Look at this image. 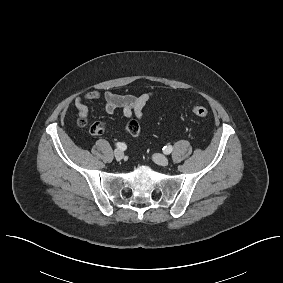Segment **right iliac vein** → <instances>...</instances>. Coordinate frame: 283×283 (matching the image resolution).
Returning <instances> with one entry per match:
<instances>
[{
	"label": "right iliac vein",
	"mask_w": 283,
	"mask_h": 283,
	"mask_svg": "<svg viewBox=\"0 0 283 283\" xmlns=\"http://www.w3.org/2000/svg\"><path fill=\"white\" fill-rule=\"evenodd\" d=\"M114 156H115V158H116L118 161H120V160L123 159L124 153H123L122 150L116 149V150L114 151Z\"/></svg>",
	"instance_id": "63e3f726"
}]
</instances>
